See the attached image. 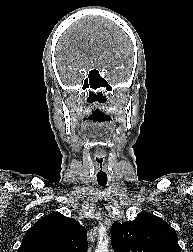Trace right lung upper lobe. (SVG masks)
I'll return each instance as SVG.
<instances>
[{
	"label": "right lung upper lobe",
	"instance_id": "cb5924a9",
	"mask_svg": "<svg viewBox=\"0 0 193 252\" xmlns=\"http://www.w3.org/2000/svg\"><path fill=\"white\" fill-rule=\"evenodd\" d=\"M86 231L59 212L39 219L23 237L17 252H86Z\"/></svg>",
	"mask_w": 193,
	"mask_h": 252
}]
</instances>
